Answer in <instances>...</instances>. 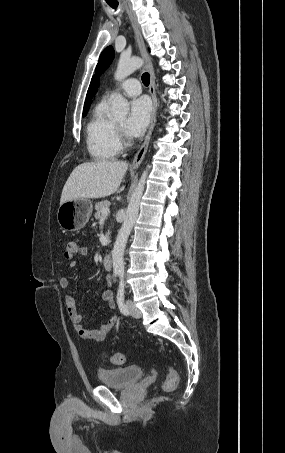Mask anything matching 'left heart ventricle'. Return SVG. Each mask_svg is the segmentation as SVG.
Here are the masks:
<instances>
[{
    "mask_svg": "<svg viewBox=\"0 0 285 453\" xmlns=\"http://www.w3.org/2000/svg\"><path fill=\"white\" fill-rule=\"evenodd\" d=\"M117 124L124 128L125 125H126V119L118 120V121H117Z\"/></svg>",
    "mask_w": 285,
    "mask_h": 453,
    "instance_id": "left-heart-ventricle-1",
    "label": "left heart ventricle"
}]
</instances>
